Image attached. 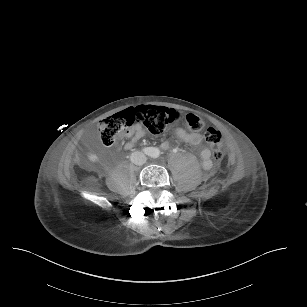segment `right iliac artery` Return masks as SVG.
Segmentation results:
<instances>
[{
	"label": "right iliac artery",
	"mask_w": 307,
	"mask_h": 307,
	"mask_svg": "<svg viewBox=\"0 0 307 307\" xmlns=\"http://www.w3.org/2000/svg\"><path fill=\"white\" fill-rule=\"evenodd\" d=\"M152 149H153V148H144V149H143V152H144L146 155H150L151 152H152Z\"/></svg>",
	"instance_id": "82829eb1"
}]
</instances>
